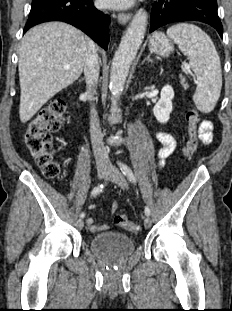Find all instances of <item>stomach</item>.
I'll list each match as a JSON object with an SVG mask.
<instances>
[{
  "mask_svg": "<svg viewBox=\"0 0 232 311\" xmlns=\"http://www.w3.org/2000/svg\"><path fill=\"white\" fill-rule=\"evenodd\" d=\"M149 50L157 55L167 57L174 50V46L164 33L155 32L149 39Z\"/></svg>",
  "mask_w": 232,
  "mask_h": 311,
  "instance_id": "stomach-1",
  "label": "stomach"
}]
</instances>
